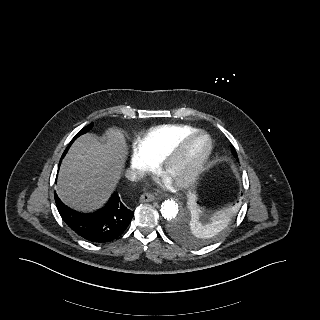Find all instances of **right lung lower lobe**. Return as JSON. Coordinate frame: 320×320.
Returning <instances> with one entry per match:
<instances>
[{
    "label": "right lung lower lobe",
    "instance_id": "98d812e1",
    "mask_svg": "<svg viewBox=\"0 0 320 320\" xmlns=\"http://www.w3.org/2000/svg\"><path fill=\"white\" fill-rule=\"evenodd\" d=\"M57 209L64 222L79 236L95 243L108 242L119 237L128 227L134 212L128 209L117 193L94 213H80L64 205L55 194Z\"/></svg>",
    "mask_w": 320,
    "mask_h": 320
}]
</instances>
